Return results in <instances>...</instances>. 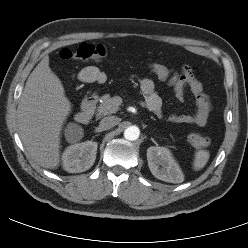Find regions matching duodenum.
<instances>
[{
  "label": "duodenum",
  "instance_id": "duodenum-1",
  "mask_svg": "<svg viewBox=\"0 0 248 248\" xmlns=\"http://www.w3.org/2000/svg\"><path fill=\"white\" fill-rule=\"evenodd\" d=\"M97 103V97L91 95L87 97L81 105V110L75 115V120L79 124H88L92 117L93 111Z\"/></svg>",
  "mask_w": 248,
  "mask_h": 248
}]
</instances>
